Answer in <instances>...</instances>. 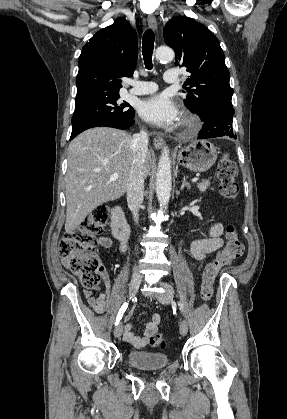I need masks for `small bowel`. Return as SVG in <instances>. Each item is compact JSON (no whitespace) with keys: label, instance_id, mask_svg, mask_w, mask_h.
I'll list each match as a JSON object with an SVG mask.
<instances>
[{"label":"small bowel","instance_id":"small-bowel-1","mask_svg":"<svg viewBox=\"0 0 287 419\" xmlns=\"http://www.w3.org/2000/svg\"><path fill=\"white\" fill-rule=\"evenodd\" d=\"M223 233V227L220 224H212L208 229V237L204 239L196 240L192 243L190 251L193 258L196 261H201L205 256L211 252L217 251L223 246V239L221 237ZM99 243L105 247L109 248L112 244V241L107 237H100ZM66 264V262H65ZM102 278L106 285V291L101 293L99 296L95 297L90 292L85 293V298L87 299L88 304L91 308L97 313H103L110 309V304L108 300L110 281L108 273L105 269L101 268L100 270ZM128 318L124 324V339L132 347L140 349L148 344L150 338L156 334L158 326L161 322V316L159 314H154L152 320L147 324L144 335L137 336L133 332V327Z\"/></svg>","mask_w":287,"mask_h":419}]
</instances>
